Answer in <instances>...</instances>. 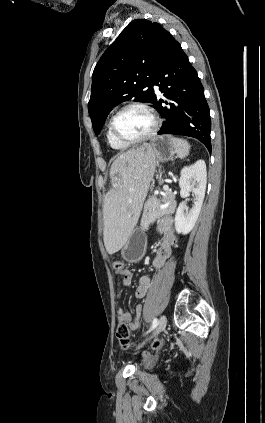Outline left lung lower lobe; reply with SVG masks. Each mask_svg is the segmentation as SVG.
Masks as SVG:
<instances>
[{
    "label": "left lung lower lobe",
    "instance_id": "left-lung-lower-lobe-1",
    "mask_svg": "<svg viewBox=\"0 0 265 423\" xmlns=\"http://www.w3.org/2000/svg\"><path fill=\"white\" fill-rule=\"evenodd\" d=\"M153 85H157L169 100H158L155 95L153 101L165 119L158 134L194 137L211 152V120L203 86L181 45L171 34L167 36ZM162 102L170 105L169 108H163Z\"/></svg>",
    "mask_w": 265,
    "mask_h": 423
}]
</instances>
